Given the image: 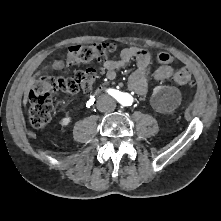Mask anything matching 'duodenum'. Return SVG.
I'll return each mask as SVG.
<instances>
[{"mask_svg": "<svg viewBox=\"0 0 221 221\" xmlns=\"http://www.w3.org/2000/svg\"><path fill=\"white\" fill-rule=\"evenodd\" d=\"M101 92V89H99L98 91H97V93H100Z\"/></svg>", "mask_w": 221, "mask_h": 221, "instance_id": "obj_1", "label": "duodenum"}]
</instances>
